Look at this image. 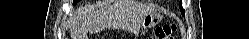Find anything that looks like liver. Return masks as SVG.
<instances>
[{"label": "liver", "mask_w": 249, "mask_h": 39, "mask_svg": "<svg viewBox=\"0 0 249 39\" xmlns=\"http://www.w3.org/2000/svg\"><path fill=\"white\" fill-rule=\"evenodd\" d=\"M150 12H152V8L133 0H119L113 5L101 4L91 8H83L82 15L85 20L81 28H74L71 31V37L73 39H84L88 30L97 32L102 26L117 24L121 20L130 18L141 24L143 18Z\"/></svg>", "instance_id": "obj_1"}]
</instances>
